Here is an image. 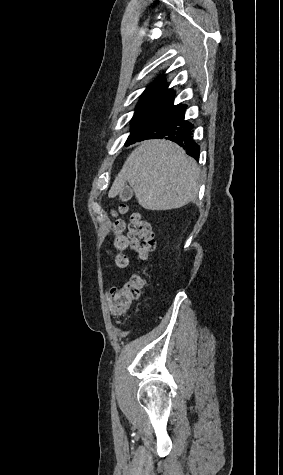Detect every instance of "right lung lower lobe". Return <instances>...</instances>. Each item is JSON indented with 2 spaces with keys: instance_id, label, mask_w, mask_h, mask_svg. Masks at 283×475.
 Here are the masks:
<instances>
[{
  "instance_id": "obj_1",
  "label": "right lung lower lobe",
  "mask_w": 283,
  "mask_h": 475,
  "mask_svg": "<svg viewBox=\"0 0 283 475\" xmlns=\"http://www.w3.org/2000/svg\"><path fill=\"white\" fill-rule=\"evenodd\" d=\"M174 95L141 122L130 134L126 145L145 139L164 138L182 146L195 159L199 145L193 140L194 125L185 120V104H173Z\"/></svg>"
}]
</instances>
